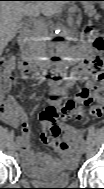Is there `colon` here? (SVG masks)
<instances>
[{
	"mask_svg": "<svg viewBox=\"0 0 104 189\" xmlns=\"http://www.w3.org/2000/svg\"><path fill=\"white\" fill-rule=\"evenodd\" d=\"M85 38L88 40L93 49L94 55L92 58V72L97 80L103 78V60L102 52L104 51V37L100 34L94 33L91 29L85 31ZM3 67L8 69L14 65H19L20 62L12 59L3 60ZM9 84L3 79L0 83L2 109H6L12 102L10 97H7ZM76 104L71 100L63 103H51L40 112L39 119L43 125L41 140L43 143L53 147L60 153H66L71 150V142L68 137L61 135L60 127L57 123L58 118L71 113L75 110ZM91 112L95 113L97 117L102 115V109L99 105L94 106Z\"/></svg>",
	"mask_w": 104,
	"mask_h": 189,
	"instance_id": "1",
	"label": "colon"
}]
</instances>
